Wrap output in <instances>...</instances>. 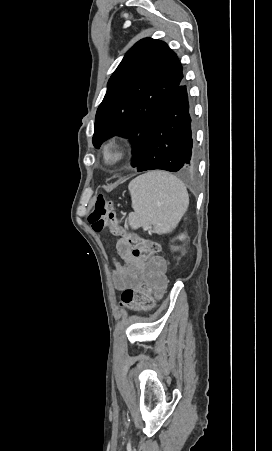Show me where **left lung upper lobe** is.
<instances>
[{"mask_svg": "<svg viewBox=\"0 0 272 451\" xmlns=\"http://www.w3.org/2000/svg\"><path fill=\"white\" fill-rule=\"evenodd\" d=\"M183 81L177 55L163 41L145 38L124 56L112 74L95 118L93 145L115 135L134 144L137 167L166 102Z\"/></svg>", "mask_w": 272, "mask_h": 451, "instance_id": "left-lung-upper-lobe-1", "label": "left lung upper lobe"}]
</instances>
